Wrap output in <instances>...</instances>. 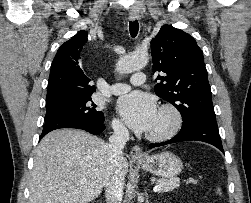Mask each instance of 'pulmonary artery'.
<instances>
[{
	"mask_svg": "<svg viewBox=\"0 0 251 203\" xmlns=\"http://www.w3.org/2000/svg\"><path fill=\"white\" fill-rule=\"evenodd\" d=\"M146 77L144 73H135L131 77L133 85H141L145 82ZM130 89V85L126 83H115L111 86V93L114 95L122 94Z\"/></svg>",
	"mask_w": 251,
	"mask_h": 203,
	"instance_id": "1",
	"label": "pulmonary artery"
}]
</instances>
